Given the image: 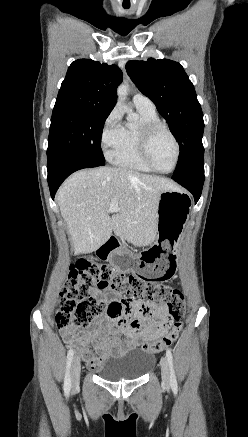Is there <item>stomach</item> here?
Listing matches in <instances>:
<instances>
[{"label": "stomach", "mask_w": 248, "mask_h": 437, "mask_svg": "<svg viewBox=\"0 0 248 437\" xmlns=\"http://www.w3.org/2000/svg\"><path fill=\"white\" fill-rule=\"evenodd\" d=\"M191 201L181 190L161 192L157 208L155 243L137 255L126 249L116 252L114 272L134 273L145 286H165L173 277L183 230L189 217Z\"/></svg>", "instance_id": "obj_1"}]
</instances>
